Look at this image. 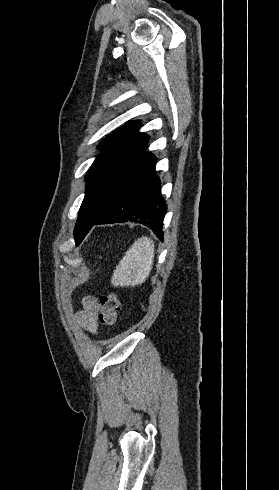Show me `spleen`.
Wrapping results in <instances>:
<instances>
[{
    "label": "spleen",
    "mask_w": 279,
    "mask_h": 490,
    "mask_svg": "<svg viewBox=\"0 0 279 490\" xmlns=\"http://www.w3.org/2000/svg\"><path fill=\"white\" fill-rule=\"evenodd\" d=\"M155 246L150 238H139L133 246L125 252L112 276L113 286L120 288H134L144 284L153 266Z\"/></svg>",
    "instance_id": "obj_1"
}]
</instances>
